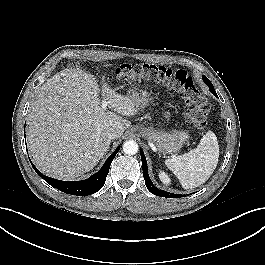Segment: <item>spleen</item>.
<instances>
[{
	"label": "spleen",
	"instance_id": "spleen-1",
	"mask_svg": "<svg viewBox=\"0 0 265 265\" xmlns=\"http://www.w3.org/2000/svg\"><path fill=\"white\" fill-rule=\"evenodd\" d=\"M219 158L216 135L208 131L197 148L180 156H171L165 165L178 178L185 189L195 188L206 182L214 172Z\"/></svg>",
	"mask_w": 265,
	"mask_h": 265
}]
</instances>
